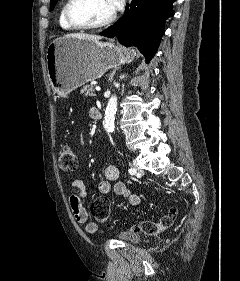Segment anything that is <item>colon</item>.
Listing matches in <instances>:
<instances>
[{"mask_svg":"<svg viewBox=\"0 0 240 281\" xmlns=\"http://www.w3.org/2000/svg\"><path fill=\"white\" fill-rule=\"evenodd\" d=\"M59 166L63 170L74 171L77 167V157L70 146H64L59 154ZM93 217L101 223H107L110 218V201L106 197L96 198L90 206ZM177 215V210L171 208L168 213L159 221H144L140 229L148 234H155L159 231L170 227Z\"/></svg>","mask_w":240,"mask_h":281,"instance_id":"1","label":"colon"}]
</instances>
